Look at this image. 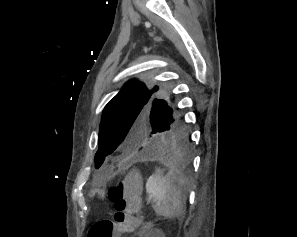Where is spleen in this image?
<instances>
[{
	"label": "spleen",
	"mask_w": 297,
	"mask_h": 237,
	"mask_svg": "<svg viewBox=\"0 0 297 237\" xmlns=\"http://www.w3.org/2000/svg\"><path fill=\"white\" fill-rule=\"evenodd\" d=\"M172 176L173 172L163 176L161 170H156L146 182V191L156 214L166 219L179 218L184 212L181 183L175 184Z\"/></svg>",
	"instance_id": "obj_1"
}]
</instances>
